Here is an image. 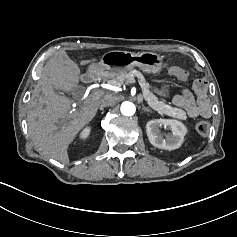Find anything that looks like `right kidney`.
Segmentation results:
<instances>
[{
	"instance_id": "ca27d5eb",
	"label": "right kidney",
	"mask_w": 237,
	"mask_h": 237,
	"mask_svg": "<svg viewBox=\"0 0 237 237\" xmlns=\"http://www.w3.org/2000/svg\"><path fill=\"white\" fill-rule=\"evenodd\" d=\"M90 130H91L90 127L84 128L82 130V132L80 133V138L81 139H86L89 136V134H90Z\"/></svg>"
}]
</instances>
